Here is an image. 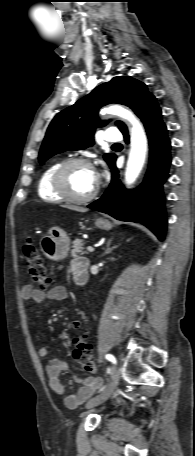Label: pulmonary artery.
<instances>
[{
    "mask_svg": "<svg viewBox=\"0 0 195 456\" xmlns=\"http://www.w3.org/2000/svg\"><path fill=\"white\" fill-rule=\"evenodd\" d=\"M105 139L108 142H120L122 140V134L117 128H109L106 131Z\"/></svg>",
    "mask_w": 195,
    "mask_h": 456,
    "instance_id": "1",
    "label": "pulmonary artery"
}]
</instances>
